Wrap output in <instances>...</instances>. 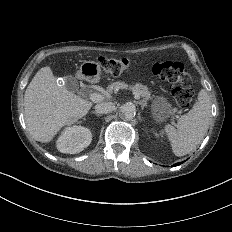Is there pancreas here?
<instances>
[{"mask_svg": "<svg viewBox=\"0 0 232 232\" xmlns=\"http://www.w3.org/2000/svg\"><path fill=\"white\" fill-rule=\"evenodd\" d=\"M128 85L117 82L115 84H111L108 87L107 92L108 93H113V92H117L119 89H127ZM133 92L135 94H139L140 96H142L144 98L143 101H150L152 99H154L156 96L152 94L151 91L148 90L147 87H144L142 85L137 84L134 88H133ZM168 112L170 114H174L175 112H177V108L176 107H170L168 109Z\"/></svg>", "mask_w": 232, "mask_h": 232, "instance_id": "1", "label": "pancreas"}]
</instances>
